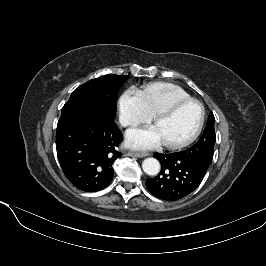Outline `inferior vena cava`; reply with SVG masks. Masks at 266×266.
I'll use <instances>...</instances> for the list:
<instances>
[{"mask_svg": "<svg viewBox=\"0 0 266 266\" xmlns=\"http://www.w3.org/2000/svg\"><path fill=\"white\" fill-rule=\"evenodd\" d=\"M128 124H130V122H126V123H125V125H128Z\"/></svg>", "mask_w": 266, "mask_h": 266, "instance_id": "602c4592", "label": "inferior vena cava"}]
</instances>
